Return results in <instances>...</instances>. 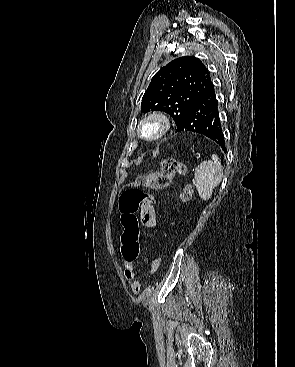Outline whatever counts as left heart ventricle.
I'll return each instance as SVG.
<instances>
[{
  "label": "left heart ventricle",
  "mask_w": 295,
  "mask_h": 367,
  "mask_svg": "<svg viewBox=\"0 0 295 367\" xmlns=\"http://www.w3.org/2000/svg\"><path fill=\"white\" fill-rule=\"evenodd\" d=\"M153 131H154V127L153 126H148L145 129V133L146 134H151V133H153Z\"/></svg>",
  "instance_id": "1"
}]
</instances>
